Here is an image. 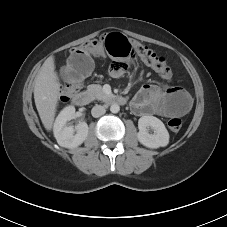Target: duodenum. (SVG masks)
Returning <instances> with one entry per match:
<instances>
[{"label": "duodenum", "instance_id": "obj_1", "mask_svg": "<svg viewBox=\"0 0 227 227\" xmlns=\"http://www.w3.org/2000/svg\"><path fill=\"white\" fill-rule=\"evenodd\" d=\"M111 100L112 102L120 105H124L126 103V98L123 96H113ZM90 101L91 94L88 91H82L73 98V103L77 106L87 105Z\"/></svg>", "mask_w": 227, "mask_h": 227}]
</instances>
